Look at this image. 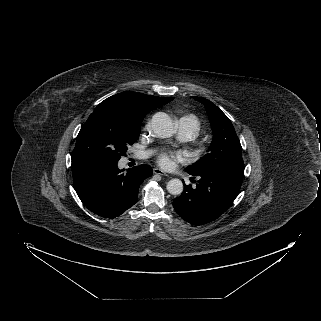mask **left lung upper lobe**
<instances>
[{"label": "left lung upper lobe", "instance_id": "obj_1", "mask_svg": "<svg viewBox=\"0 0 321 321\" xmlns=\"http://www.w3.org/2000/svg\"><path fill=\"white\" fill-rule=\"evenodd\" d=\"M193 98L205 106L213 131V140L208 153L188 166L186 171L196 175L220 165L244 164L242 147L229 118L208 99L194 96Z\"/></svg>", "mask_w": 321, "mask_h": 321}]
</instances>
